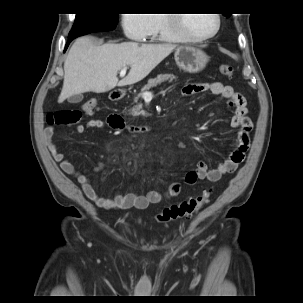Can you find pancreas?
<instances>
[{
    "label": "pancreas",
    "mask_w": 303,
    "mask_h": 303,
    "mask_svg": "<svg viewBox=\"0 0 303 303\" xmlns=\"http://www.w3.org/2000/svg\"><path fill=\"white\" fill-rule=\"evenodd\" d=\"M176 79L177 77L172 73L159 74L157 75V77L149 79L147 84L144 85L141 89V92L137 96H134L133 103H136L137 105L133 106L128 110L129 114L133 117H136L144 113V111L142 110V104L138 102L139 98L143 97L144 92L150 90L153 87H156L157 85H160L162 82H172Z\"/></svg>",
    "instance_id": "pancreas-1"
}]
</instances>
